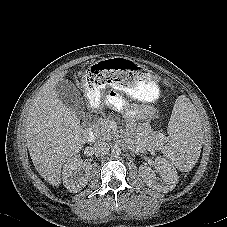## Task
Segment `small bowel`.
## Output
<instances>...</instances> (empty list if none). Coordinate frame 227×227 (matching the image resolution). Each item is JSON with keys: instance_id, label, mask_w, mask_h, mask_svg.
<instances>
[{"instance_id": "obj_1", "label": "small bowel", "mask_w": 227, "mask_h": 227, "mask_svg": "<svg viewBox=\"0 0 227 227\" xmlns=\"http://www.w3.org/2000/svg\"><path fill=\"white\" fill-rule=\"evenodd\" d=\"M107 103L111 107H115L121 103V99L116 95H109L107 97Z\"/></svg>"}]
</instances>
